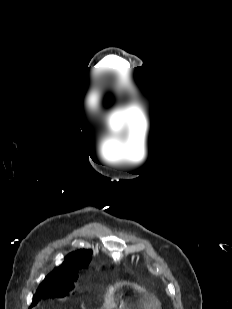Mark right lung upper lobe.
I'll return each instance as SVG.
<instances>
[{"instance_id":"obj_1","label":"right lung upper lobe","mask_w":232,"mask_h":309,"mask_svg":"<svg viewBox=\"0 0 232 309\" xmlns=\"http://www.w3.org/2000/svg\"><path fill=\"white\" fill-rule=\"evenodd\" d=\"M92 259L91 250H78L70 253L64 258L61 266L53 270L42 283L74 282L77 278V271L89 265Z\"/></svg>"}]
</instances>
